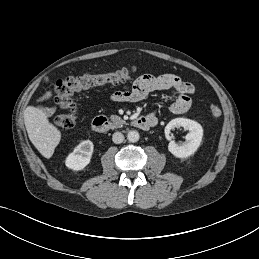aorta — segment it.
Wrapping results in <instances>:
<instances>
[{
	"mask_svg": "<svg viewBox=\"0 0 259 259\" xmlns=\"http://www.w3.org/2000/svg\"><path fill=\"white\" fill-rule=\"evenodd\" d=\"M140 138V135L137 131L135 130H131L127 133V139L130 141V142H137Z\"/></svg>",
	"mask_w": 259,
	"mask_h": 259,
	"instance_id": "1",
	"label": "aorta"
}]
</instances>
